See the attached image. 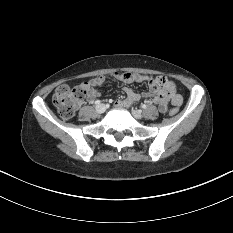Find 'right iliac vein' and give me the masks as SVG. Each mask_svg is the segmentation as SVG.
Returning a JSON list of instances; mask_svg holds the SVG:
<instances>
[{
  "mask_svg": "<svg viewBox=\"0 0 233 233\" xmlns=\"http://www.w3.org/2000/svg\"><path fill=\"white\" fill-rule=\"evenodd\" d=\"M105 110H106V107H105L104 104H99V105L96 106V111H97L98 113H104Z\"/></svg>",
  "mask_w": 233,
  "mask_h": 233,
  "instance_id": "obj_1",
  "label": "right iliac vein"
}]
</instances>
